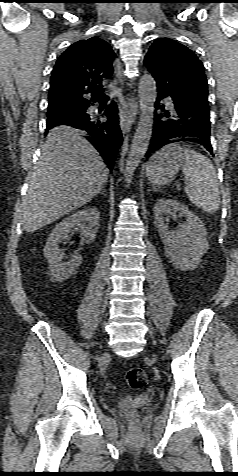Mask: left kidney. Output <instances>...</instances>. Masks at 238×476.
<instances>
[{"instance_id": "left-kidney-1", "label": "left kidney", "mask_w": 238, "mask_h": 476, "mask_svg": "<svg viewBox=\"0 0 238 476\" xmlns=\"http://www.w3.org/2000/svg\"><path fill=\"white\" fill-rule=\"evenodd\" d=\"M172 212H179L187 219V223L176 231L169 230L164 219L165 214ZM154 223L165 246V254L174 267L186 271L200 264L202 255L209 249L207 233L202 221L186 205L177 200L158 199L154 204Z\"/></svg>"}]
</instances>
